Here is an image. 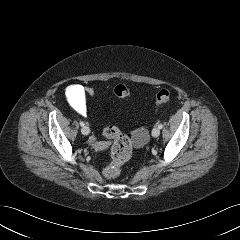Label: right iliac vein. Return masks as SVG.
<instances>
[{"label":"right iliac vein","mask_w":240,"mask_h":240,"mask_svg":"<svg viewBox=\"0 0 240 240\" xmlns=\"http://www.w3.org/2000/svg\"><path fill=\"white\" fill-rule=\"evenodd\" d=\"M81 132L83 135H88L90 133V129L87 126H83Z\"/></svg>","instance_id":"63e3f726"}]
</instances>
